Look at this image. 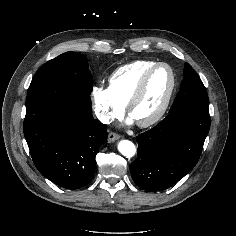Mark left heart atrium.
<instances>
[{
    "label": "left heart atrium",
    "mask_w": 236,
    "mask_h": 236,
    "mask_svg": "<svg viewBox=\"0 0 236 236\" xmlns=\"http://www.w3.org/2000/svg\"><path fill=\"white\" fill-rule=\"evenodd\" d=\"M133 121H134L133 118H129V119H128V123H129V124L133 123Z\"/></svg>",
    "instance_id": "1"
}]
</instances>
